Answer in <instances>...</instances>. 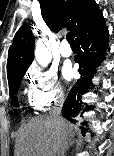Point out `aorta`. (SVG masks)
I'll list each match as a JSON object with an SVG mask.
<instances>
[{
	"instance_id": "aorta-1",
	"label": "aorta",
	"mask_w": 114,
	"mask_h": 156,
	"mask_svg": "<svg viewBox=\"0 0 114 156\" xmlns=\"http://www.w3.org/2000/svg\"><path fill=\"white\" fill-rule=\"evenodd\" d=\"M35 59L43 67L49 64L51 60V52L48 48L47 39L42 38V40H38V42L36 43Z\"/></svg>"
}]
</instances>
